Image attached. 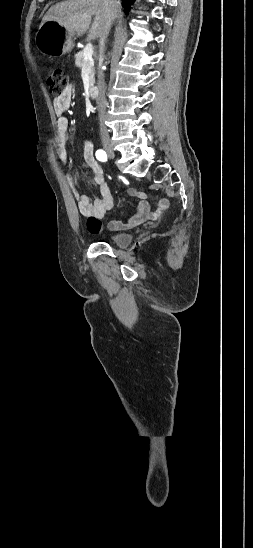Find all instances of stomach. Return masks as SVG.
I'll use <instances>...</instances> for the list:
<instances>
[{
    "label": "stomach",
    "instance_id": "stomach-1",
    "mask_svg": "<svg viewBox=\"0 0 253 548\" xmlns=\"http://www.w3.org/2000/svg\"><path fill=\"white\" fill-rule=\"evenodd\" d=\"M35 43L41 53L50 56L64 55L74 47L73 37L56 21H47L40 26Z\"/></svg>",
    "mask_w": 253,
    "mask_h": 548
}]
</instances>
